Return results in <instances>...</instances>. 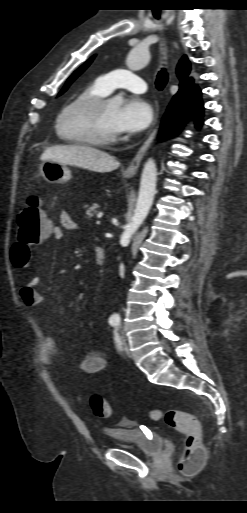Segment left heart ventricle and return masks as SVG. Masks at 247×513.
<instances>
[{
	"label": "left heart ventricle",
	"instance_id": "obj_1",
	"mask_svg": "<svg viewBox=\"0 0 247 513\" xmlns=\"http://www.w3.org/2000/svg\"><path fill=\"white\" fill-rule=\"evenodd\" d=\"M118 109V103L111 100L104 106L94 121H86L82 116L72 113L66 119V126L71 132L90 130L98 135H117L114 118Z\"/></svg>",
	"mask_w": 247,
	"mask_h": 513
}]
</instances>
